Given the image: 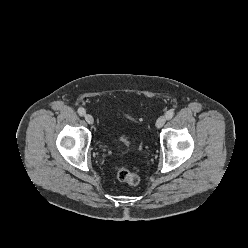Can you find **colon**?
Segmentation results:
<instances>
[{"label": "colon", "mask_w": 248, "mask_h": 248, "mask_svg": "<svg viewBox=\"0 0 248 248\" xmlns=\"http://www.w3.org/2000/svg\"><path fill=\"white\" fill-rule=\"evenodd\" d=\"M122 114L127 118L129 119L130 121H133V122H138L140 123L141 120H136L135 118H133L132 116H130L128 113L126 112H122ZM121 140L125 143V144H129V138L125 135L121 136ZM115 174H116V177L119 181L123 182V183H126L128 185H131V186H136L140 183V176L135 173V172H132L126 168H123V167H116L115 168Z\"/></svg>", "instance_id": "obj_1"}]
</instances>
